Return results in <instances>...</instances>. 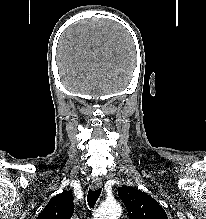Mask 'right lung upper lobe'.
Returning <instances> with one entry per match:
<instances>
[{
	"instance_id": "obj_1",
	"label": "right lung upper lobe",
	"mask_w": 206,
	"mask_h": 219,
	"mask_svg": "<svg viewBox=\"0 0 206 219\" xmlns=\"http://www.w3.org/2000/svg\"><path fill=\"white\" fill-rule=\"evenodd\" d=\"M73 199L69 191L52 197L37 219H70L74 212Z\"/></svg>"
}]
</instances>
